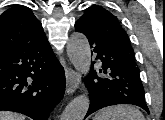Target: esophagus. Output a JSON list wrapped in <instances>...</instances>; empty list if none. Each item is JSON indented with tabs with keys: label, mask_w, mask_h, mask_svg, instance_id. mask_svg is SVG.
I'll list each match as a JSON object with an SVG mask.
<instances>
[{
	"label": "esophagus",
	"mask_w": 165,
	"mask_h": 120,
	"mask_svg": "<svg viewBox=\"0 0 165 120\" xmlns=\"http://www.w3.org/2000/svg\"><path fill=\"white\" fill-rule=\"evenodd\" d=\"M79 85V74L71 68L66 69V91L73 93Z\"/></svg>",
	"instance_id": "esophagus-1"
}]
</instances>
